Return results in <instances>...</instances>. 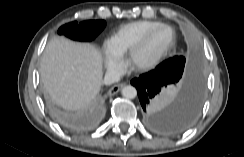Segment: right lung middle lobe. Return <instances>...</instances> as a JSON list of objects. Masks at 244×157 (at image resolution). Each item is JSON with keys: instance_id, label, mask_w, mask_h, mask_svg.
I'll use <instances>...</instances> for the list:
<instances>
[{"instance_id": "right-lung-middle-lobe-1", "label": "right lung middle lobe", "mask_w": 244, "mask_h": 157, "mask_svg": "<svg viewBox=\"0 0 244 157\" xmlns=\"http://www.w3.org/2000/svg\"><path fill=\"white\" fill-rule=\"evenodd\" d=\"M105 27L103 20H89L77 24V22L68 23L59 28L58 33L64 34L67 37L80 40H93Z\"/></svg>"}]
</instances>
